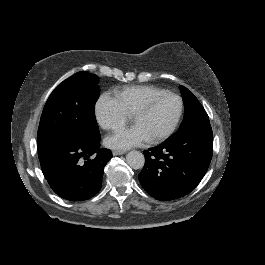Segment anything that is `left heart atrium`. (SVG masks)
Here are the masks:
<instances>
[{
	"label": "left heart atrium",
	"instance_id": "1",
	"mask_svg": "<svg viewBox=\"0 0 265 265\" xmlns=\"http://www.w3.org/2000/svg\"><path fill=\"white\" fill-rule=\"evenodd\" d=\"M150 137L140 125L131 128L122 129L106 138V143L113 149H128L142 145L149 141Z\"/></svg>",
	"mask_w": 265,
	"mask_h": 265
}]
</instances>
